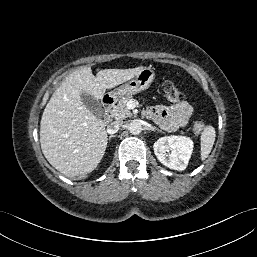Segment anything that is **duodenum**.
Segmentation results:
<instances>
[{
    "label": "duodenum",
    "mask_w": 257,
    "mask_h": 257,
    "mask_svg": "<svg viewBox=\"0 0 257 257\" xmlns=\"http://www.w3.org/2000/svg\"><path fill=\"white\" fill-rule=\"evenodd\" d=\"M114 102V98L109 95L103 97V121L105 123H108L111 120V109Z\"/></svg>",
    "instance_id": "410a0bca"
}]
</instances>
